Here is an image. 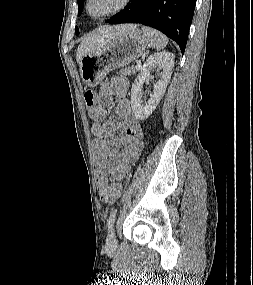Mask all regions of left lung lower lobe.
<instances>
[{
	"instance_id": "left-lung-lower-lobe-1",
	"label": "left lung lower lobe",
	"mask_w": 253,
	"mask_h": 285,
	"mask_svg": "<svg viewBox=\"0 0 253 285\" xmlns=\"http://www.w3.org/2000/svg\"><path fill=\"white\" fill-rule=\"evenodd\" d=\"M196 0H131L106 23H141L163 32L184 53Z\"/></svg>"
}]
</instances>
